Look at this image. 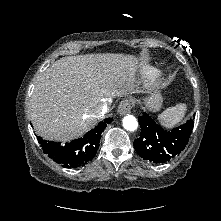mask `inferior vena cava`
Here are the masks:
<instances>
[{
    "label": "inferior vena cava",
    "mask_w": 221,
    "mask_h": 221,
    "mask_svg": "<svg viewBox=\"0 0 221 221\" xmlns=\"http://www.w3.org/2000/svg\"><path fill=\"white\" fill-rule=\"evenodd\" d=\"M108 110L107 104H104L100 108L96 109L95 114L97 117H103Z\"/></svg>",
    "instance_id": "obj_1"
}]
</instances>
